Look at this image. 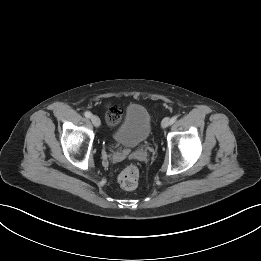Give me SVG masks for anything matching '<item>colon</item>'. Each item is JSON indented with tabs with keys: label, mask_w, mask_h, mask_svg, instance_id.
<instances>
[{
	"label": "colon",
	"mask_w": 261,
	"mask_h": 261,
	"mask_svg": "<svg viewBox=\"0 0 261 261\" xmlns=\"http://www.w3.org/2000/svg\"><path fill=\"white\" fill-rule=\"evenodd\" d=\"M122 118V110L118 106L109 107L106 119L110 125L119 123ZM119 184L126 190L136 188L139 182V170L134 165H128L120 172L118 176Z\"/></svg>",
	"instance_id": "5ec220e1"
}]
</instances>
